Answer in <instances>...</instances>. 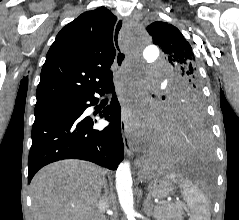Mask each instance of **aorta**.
I'll list each match as a JSON object with an SVG mask.
<instances>
[{
  "mask_svg": "<svg viewBox=\"0 0 239 220\" xmlns=\"http://www.w3.org/2000/svg\"><path fill=\"white\" fill-rule=\"evenodd\" d=\"M138 33H124V40H140ZM125 46H141V45H125ZM146 57L143 61H158V51L155 48H145ZM116 189L120 205L127 216V220H136V212L134 210V200L132 192V176L130 163H121L116 172Z\"/></svg>",
  "mask_w": 239,
  "mask_h": 220,
  "instance_id": "obj_1",
  "label": "aorta"
}]
</instances>
